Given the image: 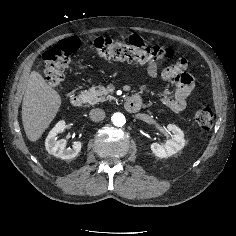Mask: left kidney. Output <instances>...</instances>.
Segmentation results:
<instances>
[{"instance_id": "obj_1", "label": "left kidney", "mask_w": 236, "mask_h": 236, "mask_svg": "<svg viewBox=\"0 0 236 236\" xmlns=\"http://www.w3.org/2000/svg\"><path fill=\"white\" fill-rule=\"evenodd\" d=\"M168 131L173 134L172 139L167 140L165 144L152 143L151 150L155 156L160 158L170 157L179 152L186 144L183 131L174 124L167 125Z\"/></svg>"}]
</instances>
